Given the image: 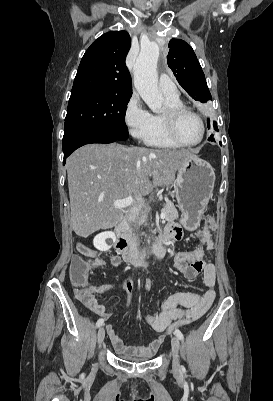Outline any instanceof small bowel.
<instances>
[{"label": "small bowel", "mask_w": 273, "mask_h": 401, "mask_svg": "<svg viewBox=\"0 0 273 401\" xmlns=\"http://www.w3.org/2000/svg\"><path fill=\"white\" fill-rule=\"evenodd\" d=\"M204 221L206 225L198 233L199 243L197 247L192 250L177 252L173 257L175 269L189 280L201 277L204 290L202 292H176L170 294L163 301L158 313L146 316V322L156 333L166 334L173 327L199 319L208 311L215 300L216 268L213 263L205 260V255L207 250L213 248V231L216 218L214 215H206ZM162 234L170 239H179L184 236V229L170 225L165 228ZM82 254L87 256L88 261H91L94 267L107 266V262L89 248L83 247ZM121 262L120 256L110 255V265L117 267ZM119 283L124 286L130 297L134 294V287L129 279H121ZM98 285H102V280H97V284H88L86 290H77L74 302L75 304H83L101 320L107 321L111 317V313L98 302L97 298L100 293L108 290L112 284L103 283V291H99ZM105 330L114 349L123 355L133 354L148 357L155 351L156 344L162 345L165 342L164 337L157 336L155 338L156 344L151 343L138 347L130 346L123 342L112 324H106Z\"/></svg>", "instance_id": "small-bowel-1"}]
</instances>
